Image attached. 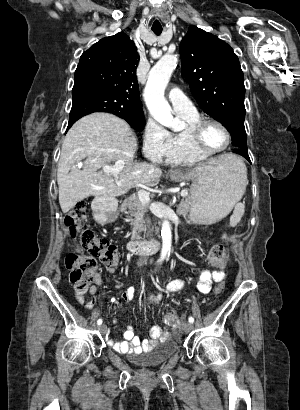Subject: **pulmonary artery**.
<instances>
[{
    "label": "pulmonary artery",
    "mask_w": 300,
    "mask_h": 410,
    "mask_svg": "<svg viewBox=\"0 0 300 410\" xmlns=\"http://www.w3.org/2000/svg\"><path fill=\"white\" fill-rule=\"evenodd\" d=\"M168 100L176 112L194 113L196 108L193 102L178 89H171L168 92Z\"/></svg>",
    "instance_id": "obj_1"
}]
</instances>
